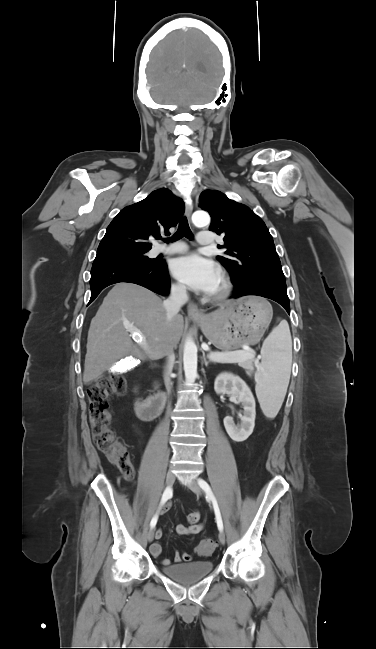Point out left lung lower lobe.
Segmentation results:
<instances>
[{"label": "left lung lower lobe", "instance_id": "obj_1", "mask_svg": "<svg viewBox=\"0 0 376 649\" xmlns=\"http://www.w3.org/2000/svg\"><path fill=\"white\" fill-rule=\"evenodd\" d=\"M247 295H256L269 298L282 305L288 314H290V303L287 296V288L263 278L251 277L246 284L238 286L237 291L231 298H240Z\"/></svg>", "mask_w": 376, "mask_h": 649}]
</instances>
